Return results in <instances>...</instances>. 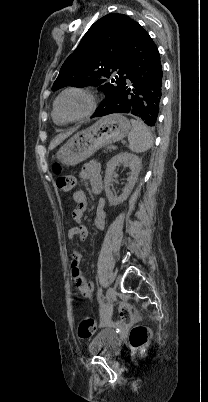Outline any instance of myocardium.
Here are the masks:
<instances>
[{
    "label": "myocardium",
    "instance_id": "obj_1",
    "mask_svg": "<svg viewBox=\"0 0 208 402\" xmlns=\"http://www.w3.org/2000/svg\"><path fill=\"white\" fill-rule=\"evenodd\" d=\"M72 91L81 92V93L88 95L91 98V106H90L89 110L81 116H78L75 118H66L59 113L58 102L63 95H65L68 92H72ZM98 102H99V98H98V95L96 94V92L86 89V88L72 86V87H68V88L62 90L58 94V96L56 97L54 104H53V111L57 115V117L64 123L77 122V121H81V120L87 119L90 116H92L97 109Z\"/></svg>",
    "mask_w": 208,
    "mask_h": 402
}]
</instances>
